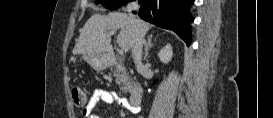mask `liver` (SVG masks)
I'll return each mask as SVG.
<instances>
[{
    "instance_id": "6515ba94",
    "label": "liver",
    "mask_w": 273,
    "mask_h": 118,
    "mask_svg": "<svg viewBox=\"0 0 273 118\" xmlns=\"http://www.w3.org/2000/svg\"><path fill=\"white\" fill-rule=\"evenodd\" d=\"M136 20L144 36L150 29V26L143 20ZM136 26L132 18L125 13L94 14L85 23L73 49V54H83L86 56L88 54L104 52L110 48L111 31L117 29H120L117 36V43L125 52H128L134 45Z\"/></svg>"
}]
</instances>
